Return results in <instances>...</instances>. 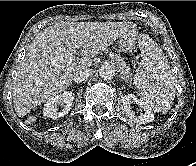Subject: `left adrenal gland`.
Returning a JSON list of instances; mask_svg holds the SVG:
<instances>
[{
  "label": "left adrenal gland",
  "instance_id": "a2214340",
  "mask_svg": "<svg viewBox=\"0 0 196 166\" xmlns=\"http://www.w3.org/2000/svg\"><path fill=\"white\" fill-rule=\"evenodd\" d=\"M121 78H122L123 80H126L124 76H121Z\"/></svg>",
  "mask_w": 196,
  "mask_h": 166
}]
</instances>
